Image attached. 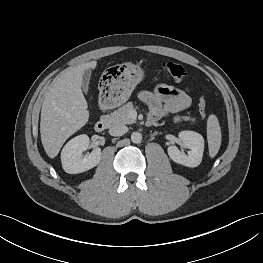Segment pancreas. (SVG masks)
<instances>
[{
    "label": "pancreas",
    "instance_id": "cf45deb5",
    "mask_svg": "<svg viewBox=\"0 0 263 263\" xmlns=\"http://www.w3.org/2000/svg\"><path fill=\"white\" fill-rule=\"evenodd\" d=\"M133 104L128 103L120 107L119 109L112 112L110 115H107L106 118L109 120L111 125H119V124H133L135 123V119L131 118L129 113L133 109ZM183 119L185 121L195 122V118H190L189 116H184Z\"/></svg>",
    "mask_w": 263,
    "mask_h": 263
}]
</instances>
